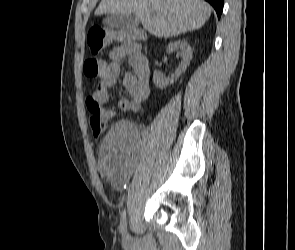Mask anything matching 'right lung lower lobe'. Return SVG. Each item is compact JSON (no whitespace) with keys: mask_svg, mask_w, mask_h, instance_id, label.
Wrapping results in <instances>:
<instances>
[{"mask_svg":"<svg viewBox=\"0 0 295 250\" xmlns=\"http://www.w3.org/2000/svg\"><path fill=\"white\" fill-rule=\"evenodd\" d=\"M209 2L215 9L218 18H220L222 10H223V1L224 0H206Z\"/></svg>","mask_w":295,"mask_h":250,"instance_id":"1","label":"right lung lower lobe"}]
</instances>
